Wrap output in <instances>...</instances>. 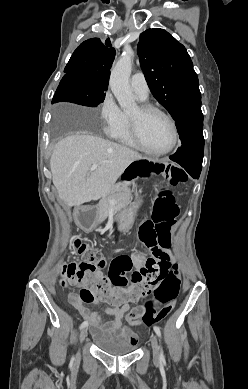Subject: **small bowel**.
<instances>
[{"label": "small bowel", "mask_w": 248, "mask_h": 389, "mask_svg": "<svg viewBox=\"0 0 248 389\" xmlns=\"http://www.w3.org/2000/svg\"><path fill=\"white\" fill-rule=\"evenodd\" d=\"M168 254L170 260L172 262L175 261V258L173 254L170 251H166ZM132 262L134 266L137 269H140L143 267V264L146 259V253L140 249H136L132 253ZM118 290L125 292L128 290L126 287H118ZM68 301L71 305H73L82 315L84 319H86L87 322L91 324V326L96 328H102V331L110 334V335H126L130 338V340L137 344L138 343V336L135 332H133L130 329V326H136L141 323V314H142V306H137L134 308H131V306L137 301L130 300L127 302H124L119 305L111 304L108 301H105L101 298H98L91 303H88L92 305L93 307H98L103 309L105 312H112L113 313V319L111 321H108L103 324L95 323L94 321V313L90 310L89 307L85 305V303L81 300L79 294L77 293H70L68 295ZM109 305L113 306L114 308H111ZM126 319L129 326L124 325L123 319Z\"/></svg>", "instance_id": "c3829d8e"}]
</instances>
